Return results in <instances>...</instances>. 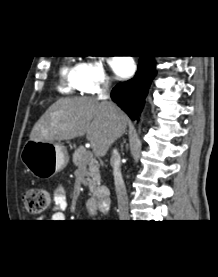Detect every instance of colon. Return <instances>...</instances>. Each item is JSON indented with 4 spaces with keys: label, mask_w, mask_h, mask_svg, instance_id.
<instances>
[{
    "label": "colon",
    "mask_w": 218,
    "mask_h": 277,
    "mask_svg": "<svg viewBox=\"0 0 218 277\" xmlns=\"http://www.w3.org/2000/svg\"><path fill=\"white\" fill-rule=\"evenodd\" d=\"M22 201L30 214H41L49 207L50 192L45 188H29L23 193Z\"/></svg>",
    "instance_id": "1"
}]
</instances>
